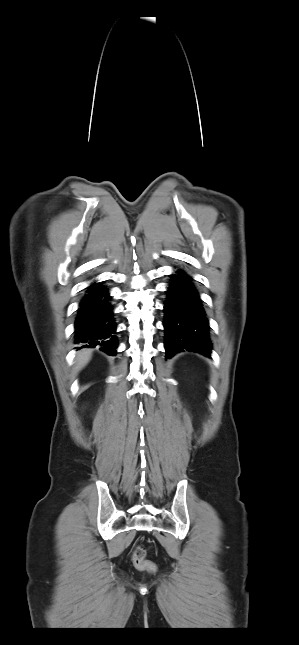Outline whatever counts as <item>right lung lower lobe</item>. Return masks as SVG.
<instances>
[{
  "mask_svg": "<svg viewBox=\"0 0 299 645\" xmlns=\"http://www.w3.org/2000/svg\"><path fill=\"white\" fill-rule=\"evenodd\" d=\"M116 322L108 288L100 283L90 285L79 303L75 321V343L80 348H94L115 356L117 348Z\"/></svg>",
  "mask_w": 299,
  "mask_h": 645,
  "instance_id": "obj_1",
  "label": "right lung lower lobe"
}]
</instances>
